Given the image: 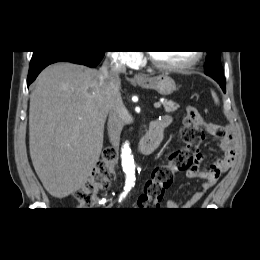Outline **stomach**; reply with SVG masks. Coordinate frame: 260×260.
I'll list each match as a JSON object with an SVG mask.
<instances>
[{
    "instance_id": "1",
    "label": "stomach",
    "mask_w": 260,
    "mask_h": 260,
    "mask_svg": "<svg viewBox=\"0 0 260 260\" xmlns=\"http://www.w3.org/2000/svg\"><path fill=\"white\" fill-rule=\"evenodd\" d=\"M137 84L145 89H153L163 96L171 95L176 91L175 81L166 74L147 77L145 80L137 81Z\"/></svg>"
}]
</instances>
